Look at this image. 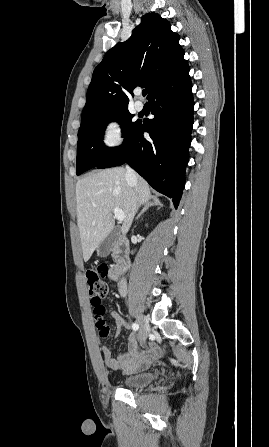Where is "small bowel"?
<instances>
[{
	"mask_svg": "<svg viewBox=\"0 0 269 447\" xmlns=\"http://www.w3.org/2000/svg\"><path fill=\"white\" fill-rule=\"evenodd\" d=\"M111 317L115 322L114 336L119 337L124 330L128 329L129 325L115 309L111 311ZM127 345L128 352L117 355H114L109 345L104 344L102 346V354L108 367L121 369L127 373L136 372L149 367L161 354L160 349L156 346L139 350L137 337L133 333L128 335Z\"/></svg>",
	"mask_w": 269,
	"mask_h": 447,
	"instance_id": "small-bowel-1",
	"label": "small bowel"
}]
</instances>
